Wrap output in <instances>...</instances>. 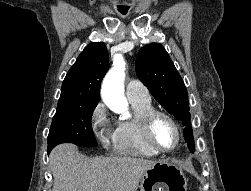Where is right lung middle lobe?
Returning <instances> with one entry per match:
<instances>
[{"label": "right lung middle lobe", "instance_id": "right-lung-middle-lobe-1", "mask_svg": "<svg viewBox=\"0 0 251 191\" xmlns=\"http://www.w3.org/2000/svg\"><path fill=\"white\" fill-rule=\"evenodd\" d=\"M97 104L57 108L48 135V153L60 143L95 147L91 118Z\"/></svg>", "mask_w": 251, "mask_h": 191}]
</instances>
